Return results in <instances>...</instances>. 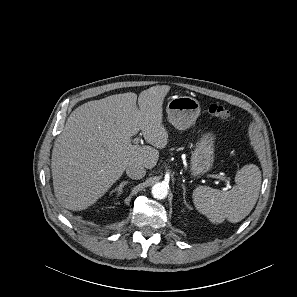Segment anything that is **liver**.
I'll return each mask as SVG.
<instances>
[{"label": "liver", "mask_w": 297, "mask_h": 297, "mask_svg": "<svg viewBox=\"0 0 297 297\" xmlns=\"http://www.w3.org/2000/svg\"><path fill=\"white\" fill-rule=\"evenodd\" d=\"M170 86H154L87 102L76 108L57 137L51 159L54 193L67 209L94 204L130 165L155 167L168 143L162 105ZM142 131L151 146L131 143Z\"/></svg>", "instance_id": "liver-1"}]
</instances>
